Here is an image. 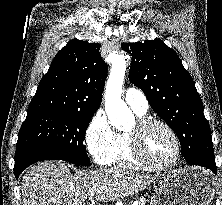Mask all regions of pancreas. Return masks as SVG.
Returning <instances> with one entry per match:
<instances>
[{"label": "pancreas", "instance_id": "1", "mask_svg": "<svg viewBox=\"0 0 222 205\" xmlns=\"http://www.w3.org/2000/svg\"><path fill=\"white\" fill-rule=\"evenodd\" d=\"M137 205H146V199L143 197L140 198Z\"/></svg>", "mask_w": 222, "mask_h": 205}]
</instances>
